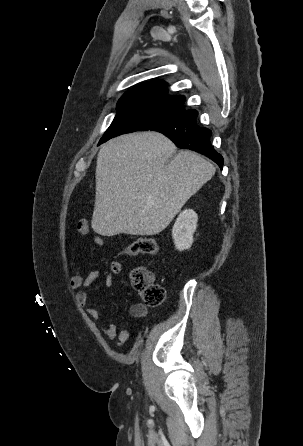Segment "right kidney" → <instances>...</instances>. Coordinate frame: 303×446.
Segmentation results:
<instances>
[{"label":"right kidney","mask_w":303,"mask_h":446,"mask_svg":"<svg viewBox=\"0 0 303 446\" xmlns=\"http://www.w3.org/2000/svg\"><path fill=\"white\" fill-rule=\"evenodd\" d=\"M198 216L192 209L182 211L172 229V237L178 251L189 249L193 244V234L197 228Z\"/></svg>","instance_id":"obj_1"}]
</instances>
